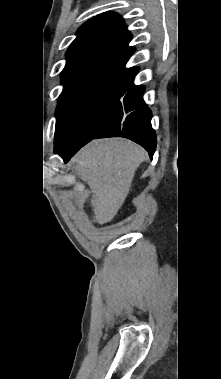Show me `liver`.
<instances>
[{
	"label": "liver",
	"mask_w": 221,
	"mask_h": 379,
	"mask_svg": "<svg viewBox=\"0 0 221 379\" xmlns=\"http://www.w3.org/2000/svg\"><path fill=\"white\" fill-rule=\"evenodd\" d=\"M145 158L140 146L119 138L93 140L72 158L75 171L92 190L94 221L104 224L116 215Z\"/></svg>",
	"instance_id": "obj_1"
}]
</instances>
